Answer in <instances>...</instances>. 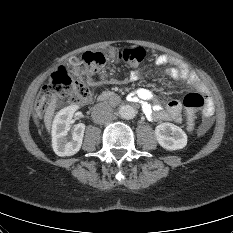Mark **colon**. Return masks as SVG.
<instances>
[{"label": "colon", "mask_w": 233, "mask_h": 233, "mask_svg": "<svg viewBox=\"0 0 233 233\" xmlns=\"http://www.w3.org/2000/svg\"><path fill=\"white\" fill-rule=\"evenodd\" d=\"M142 47H128L115 52V57L131 66L139 65L145 58ZM83 61L90 74L97 73L105 64V57L101 53L87 52ZM91 90L82 82L74 79L65 68L58 69L52 74L48 84L39 92L36 100V110L39 114L47 111L57 98H67L72 104L81 106L90 101ZM188 120L193 122L195 113L205 107V97L200 93H189L184 97Z\"/></svg>", "instance_id": "obj_1"}]
</instances>
